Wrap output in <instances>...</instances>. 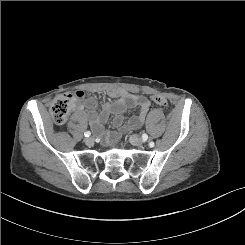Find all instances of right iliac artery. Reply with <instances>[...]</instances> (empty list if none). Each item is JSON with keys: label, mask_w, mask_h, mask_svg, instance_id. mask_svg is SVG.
Returning a JSON list of instances; mask_svg holds the SVG:
<instances>
[{"label": "right iliac artery", "mask_w": 245, "mask_h": 245, "mask_svg": "<svg viewBox=\"0 0 245 245\" xmlns=\"http://www.w3.org/2000/svg\"><path fill=\"white\" fill-rule=\"evenodd\" d=\"M90 135H91L90 131H86V132L84 133V136H85V137H89Z\"/></svg>", "instance_id": "obj_1"}]
</instances>
